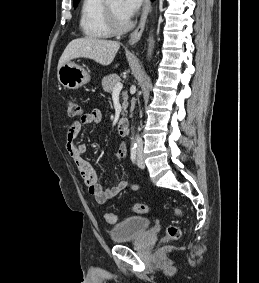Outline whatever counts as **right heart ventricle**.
<instances>
[{
    "mask_svg": "<svg viewBox=\"0 0 259 283\" xmlns=\"http://www.w3.org/2000/svg\"><path fill=\"white\" fill-rule=\"evenodd\" d=\"M80 27L84 35L92 39H104L113 35L106 18L105 0H83Z\"/></svg>",
    "mask_w": 259,
    "mask_h": 283,
    "instance_id": "right-heart-ventricle-1",
    "label": "right heart ventricle"
}]
</instances>
